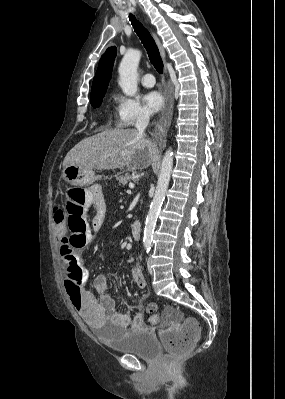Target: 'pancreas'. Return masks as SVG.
<instances>
[{"label": "pancreas", "mask_w": 285, "mask_h": 399, "mask_svg": "<svg viewBox=\"0 0 285 399\" xmlns=\"http://www.w3.org/2000/svg\"><path fill=\"white\" fill-rule=\"evenodd\" d=\"M132 178V175L123 171L121 175L117 178V182L119 185H126Z\"/></svg>", "instance_id": "pancreas-1"}]
</instances>
